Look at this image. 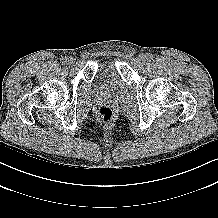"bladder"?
I'll use <instances>...</instances> for the list:
<instances>
[{
    "mask_svg": "<svg viewBox=\"0 0 218 218\" xmlns=\"http://www.w3.org/2000/svg\"><path fill=\"white\" fill-rule=\"evenodd\" d=\"M96 81L100 85L113 86L118 89H123L125 84L122 81L117 67L108 61H102L96 70Z\"/></svg>",
    "mask_w": 218,
    "mask_h": 218,
    "instance_id": "obj_1",
    "label": "bladder"
}]
</instances>
